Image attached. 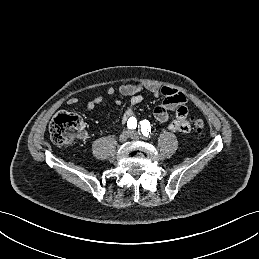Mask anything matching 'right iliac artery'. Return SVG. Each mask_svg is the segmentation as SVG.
<instances>
[{
	"mask_svg": "<svg viewBox=\"0 0 259 259\" xmlns=\"http://www.w3.org/2000/svg\"><path fill=\"white\" fill-rule=\"evenodd\" d=\"M127 127L129 129H136L137 127V120L135 117H130L127 121Z\"/></svg>",
	"mask_w": 259,
	"mask_h": 259,
	"instance_id": "1",
	"label": "right iliac artery"
}]
</instances>
